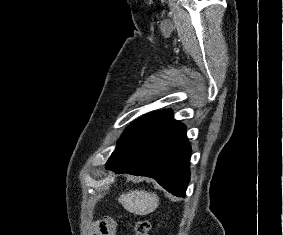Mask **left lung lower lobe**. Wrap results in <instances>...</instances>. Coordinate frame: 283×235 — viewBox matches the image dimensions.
Listing matches in <instances>:
<instances>
[{"label":"left lung lower lobe","mask_w":283,"mask_h":235,"mask_svg":"<svg viewBox=\"0 0 283 235\" xmlns=\"http://www.w3.org/2000/svg\"><path fill=\"white\" fill-rule=\"evenodd\" d=\"M191 147L186 129L163 110L135 130L112 153L106 168L116 173L154 178L175 196H185Z\"/></svg>","instance_id":"0a47b994"}]
</instances>
